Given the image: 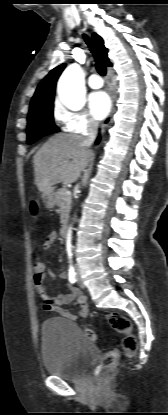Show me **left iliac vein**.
Listing matches in <instances>:
<instances>
[{
	"mask_svg": "<svg viewBox=\"0 0 168 415\" xmlns=\"http://www.w3.org/2000/svg\"><path fill=\"white\" fill-rule=\"evenodd\" d=\"M77 283L81 288L85 287L79 272L77 273Z\"/></svg>",
	"mask_w": 168,
	"mask_h": 415,
	"instance_id": "obj_1",
	"label": "left iliac vein"
}]
</instances>
